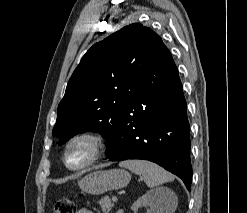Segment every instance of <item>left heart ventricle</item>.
Returning a JSON list of instances; mask_svg holds the SVG:
<instances>
[{"mask_svg":"<svg viewBox=\"0 0 247 213\" xmlns=\"http://www.w3.org/2000/svg\"><path fill=\"white\" fill-rule=\"evenodd\" d=\"M90 153L91 146L87 142H77L68 151V163L71 166H78L88 159Z\"/></svg>","mask_w":247,"mask_h":213,"instance_id":"obj_1","label":"left heart ventricle"}]
</instances>
